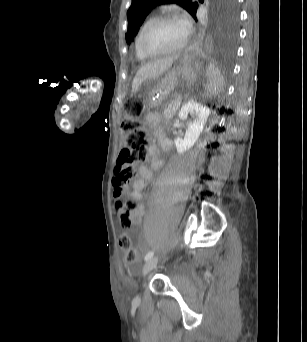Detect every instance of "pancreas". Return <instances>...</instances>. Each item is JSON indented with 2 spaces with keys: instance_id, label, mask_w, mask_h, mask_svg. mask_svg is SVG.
<instances>
[{
  "instance_id": "pancreas-1",
  "label": "pancreas",
  "mask_w": 307,
  "mask_h": 342,
  "mask_svg": "<svg viewBox=\"0 0 307 342\" xmlns=\"http://www.w3.org/2000/svg\"><path fill=\"white\" fill-rule=\"evenodd\" d=\"M172 104H179L180 99L179 97H172L171 99ZM174 106H165L164 107V115L165 117H174L175 112L173 110Z\"/></svg>"
}]
</instances>
